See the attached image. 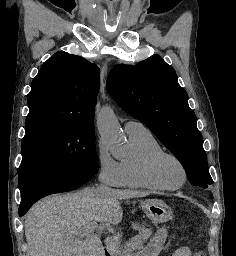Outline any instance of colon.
<instances>
[{
    "mask_svg": "<svg viewBox=\"0 0 236 256\" xmlns=\"http://www.w3.org/2000/svg\"><path fill=\"white\" fill-rule=\"evenodd\" d=\"M193 255L194 256H204V254L200 251H196Z\"/></svg>",
    "mask_w": 236,
    "mask_h": 256,
    "instance_id": "5ec220e1",
    "label": "colon"
}]
</instances>
